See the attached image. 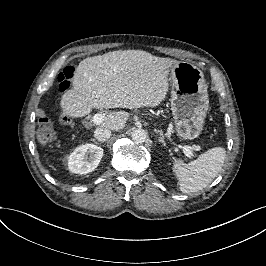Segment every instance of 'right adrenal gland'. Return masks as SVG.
<instances>
[{
    "label": "right adrenal gland",
    "instance_id": "1",
    "mask_svg": "<svg viewBox=\"0 0 266 266\" xmlns=\"http://www.w3.org/2000/svg\"><path fill=\"white\" fill-rule=\"evenodd\" d=\"M91 141H93L95 144H99L98 142H96V140L94 138L91 139Z\"/></svg>",
    "mask_w": 266,
    "mask_h": 266
}]
</instances>
